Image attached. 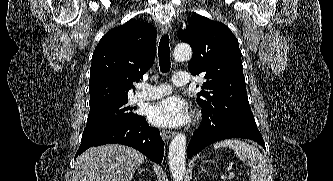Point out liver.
<instances>
[{
    "label": "liver",
    "mask_w": 333,
    "mask_h": 181,
    "mask_svg": "<svg viewBox=\"0 0 333 181\" xmlns=\"http://www.w3.org/2000/svg\"><path fill=\"white\" fill-rule=\"evenodd\" d=\"M145 156L128 146L91 147L77 158L75 181H131Z\"/></svg>",
    "instance_id": "liver-1"
}]
</instances>
